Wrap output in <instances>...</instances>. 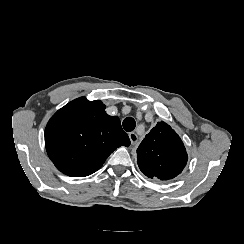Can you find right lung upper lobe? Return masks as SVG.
<instances>
[{"instance_id": "right-lung-upper-lobe-1", "label": "right lung upper lobe", "mask_w": 244, "mask_h": 244, "mask_svg": "<svg viewBox=\"0 0 244 244\" xmlns=\"http://www.w3.org/2000/svg\"><path fill=\"white\" fill-rule=\"evenodd\" d=\"M100 101L77 98L58 110L45 129V146L58 170L85 177L97 171L120 146H129L118 117Z\"/></svg>"}]
</instances>
